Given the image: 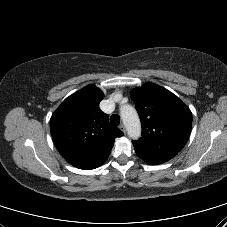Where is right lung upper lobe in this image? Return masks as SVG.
Listing matches in <instances>:
<instances>
[{
  "mask_svg": "<svg viewBox=\"0 0 227 227\" xmlns=\"http://www.w3.org/2000/svg\"><path fill=\"white\" fill-rule=\"evenodd\" d=\"M102 90L88 85L67 97L52 114L50 131L59 153L71 165L95 169L108 158L116 137L123 135L99 108Z\"/></svg>",
  "mask_w": 227,
  "mask_h": 227,
  "instance_id": "1",
  "label": "right lung upper lobe"
}]
</instances>
